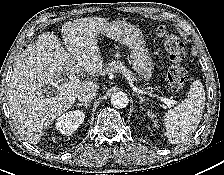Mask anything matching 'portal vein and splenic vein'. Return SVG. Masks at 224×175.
I'll return each instance as SVG.
<instances>
[{
    "label": "portal vein and splenic vein",
    "instance_id": "obj_1",
    "mask_svg": "<svg viewBox=\"0 0 224 175\" xmlns=\"http://www.w3.org/2000/svg\"><path fill=\"white\" fill-rule=\"evenodd\" d=\"M79 83H80V80L78 78H74L71 81H68V82H65V83L61 84L60 88L64 89L66 87L78 85ZM152 96H154V97L158 98L159 100H161L162 102H164L168 106V108H171L172 104L175 103L174 100H170V99H167L165 97H162V96H159V95H156V94H152Z\"/></svg>",
    "mask_w": 224,
    "mask_h": 175
}]
</instances>
